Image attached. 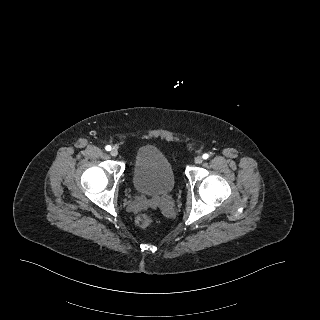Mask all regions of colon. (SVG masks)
I'll use <instances>...</instances> for the list:
<instances>
[{
	"instance_id": "colon-1",
	"label": "colon",
	"mask_w": 320,
	"mask_h": 320,
	"mask_svg": "<svg viewBox=\"0 0 320 320\" xmlns=\"http://www.w3.org/2000/svg\"><path fill=\"white\" fill-rule=\"evenodd\" d=\"M136 224L142 228L149 227L152 224V218L146 214H141L137 216Z\"/></svg>"
}]
</instances>
